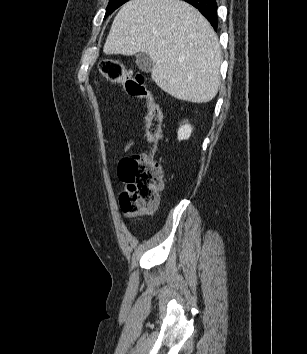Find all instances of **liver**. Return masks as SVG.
<instances>
[{"instance_id": "liver-1", "label": "liver", "mask_w": 307, "mask_h": 354, "mask_svg": "<svg viewBox=\"0 0 307 354\" xmlns=\"http://www.w3.org/2000/svg\"><path fill=\"white\" fill-rule=\"evenodd\" d=\"M106 55L143 52L154 62L151 77L169 95L211 101L220 86L222 56L210 23L180 0H130L117 13L103 47Z\"/></svg>"}]
</instances>
